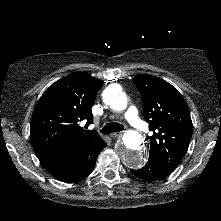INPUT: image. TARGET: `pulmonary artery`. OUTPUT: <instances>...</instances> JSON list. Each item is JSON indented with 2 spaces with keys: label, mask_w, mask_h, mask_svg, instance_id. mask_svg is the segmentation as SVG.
I'll use <instances>...</instances> for the list:
<instances>
[{
  "label": "pulmonary artery",
  "mask_w": 221,
  "mask_h": 221,
  "mask_svg": "<svg viewBox=\"0 0 221 221\" xmlns=\"http://www.w3.org/2000/svg\"><path fill=\"white\" fill-rule=\"evenodd\" d=\"M125 118L135 128L141 131H147L148 125L139 117L138 110L135 106L131 105L125 112Z\"/></svg>",
  "instance_id": "pulmonary-artery-1"
}]
</instances>
